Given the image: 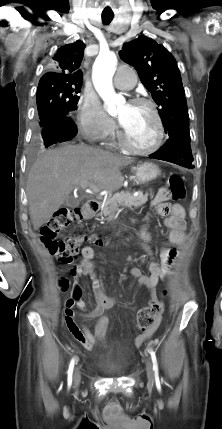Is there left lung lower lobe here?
Listing matches in <instances>:
<instances>
[{"label": "left lung lower lobe", "mask_w": 222, "mask_h": 429, "mask_svg": "<svg viewBox=\"0 0 222 429\" xmlns=\"http://www.w3.org/2000/svg\"><path fill=\"white\" fill-rule=\"evenodd\" d=\"M151 158L168 161L188 169H193V155L190 147V139L175 137L166 141L165 145L150 155Z\"/></svg>", "instance_id": "0a47b994"}]
</instances>
